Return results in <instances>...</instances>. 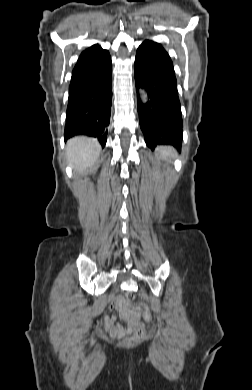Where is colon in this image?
<instances>
[{
  "mask_svg": "<svg viewBox=\"0 0 252 390\" xmlns=\"http://www.w3.org/2000/svg\"><path fill=\"white\" fill-rule=\"evenodd\" d=\"M125 299L127 303L131 306V308H134L135 310H138V308L132 306V301L134 300V295L132 293H127L125 296ZM145 329L144 324L142 322H139L136 326V330L133 333V335L128 339V343H137L140 342L145 338Z\"/></svg>",
  "mask_w": 252,
  "mask_h": 390,
  "instance_id": "colon-1",
  "label": "colon"
}]
</instances>
